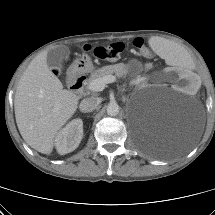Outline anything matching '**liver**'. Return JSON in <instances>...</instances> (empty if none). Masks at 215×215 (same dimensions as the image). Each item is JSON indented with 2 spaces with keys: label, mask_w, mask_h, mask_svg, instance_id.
Instances as JSON below:
<instances>
[{
  "label": "liver",
  "mask_w": 215,
  "mask_h": 215,
  "mask_svg": "<svg viewBox=\"0 0 215 215\" xmlns=\"http://www.w3.org/2000/svg\"><path fill=\"white\" fill-rule=\"evenodd\" d=\"M160 39V38H159ZM47 51L37 55L21 76L14 99L15 118L24 141L49 154L61 127L73 116L79 96L63 89L49 69Z\"/></svg>",
  "instance_id": "6515ba94"
}]
</instances>
